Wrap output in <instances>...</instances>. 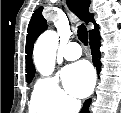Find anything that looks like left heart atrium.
Segmentation results:
<instances>
[{
	"label": "left heart atrium",
	"instance_id": "obj_1",
	"mask_svg": "<svg viewBox=\"0 0 121 113\" xmlns=\"http://www.w3.org/2000/svg\"><path fill=\"white\" fill-rule=\"evenodd\" d=\"M62 80L66 90L75 97H86L94 86V73L86 62H78L65 67Z\"/></svg>",
	"mask_w": 121,
	"mask_h": 113
}]
</instances>
